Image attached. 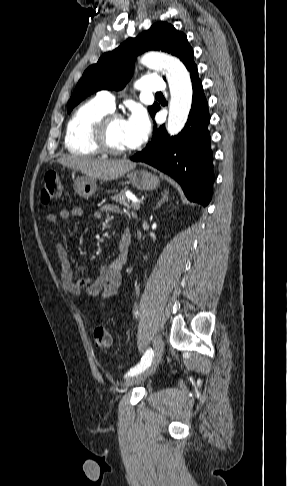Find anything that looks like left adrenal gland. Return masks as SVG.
<instances>
[{
	"mask_svg": "<svg viewBox=\"0 0 287 486\" xmlns=\"http://www.w3.org/2000/svg\"><path fill=\"white\" fill-rule=\"evenodd\" d=\"M168 195H169V192L167 190H165L164 194H163V197L161 198V200L157 203V205L155 206L154 209H158L159 207H161V205L165 202V201H168Z\"/></svg>",
	"mask_w": 287,
	"mask_h": 486,
	"instance_id": "obj_1",
	"label": "left adrenal gland"
}]
</instances>
